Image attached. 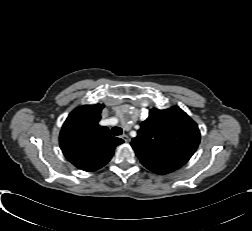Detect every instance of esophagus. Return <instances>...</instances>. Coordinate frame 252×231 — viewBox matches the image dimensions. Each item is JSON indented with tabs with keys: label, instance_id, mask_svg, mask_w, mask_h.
Wrapping results in <instances>:
<instances>
[{
	"label": "esophagus",
	"instance_id": "34e87169",
	"mask_svg": "<svg viewBox=\"0 0 252 231\" xmlns=\"http://www.w3.org/2000/svg\"><path fill=\"white\" fill-rule=\"evenodd\" d=\"M122 139L125 141V142H129L130 141V138L127 134H123L122 136Z\"/></svg>",
	"mask_w": 252,
	"mask_h": 231
}]
</instances>
